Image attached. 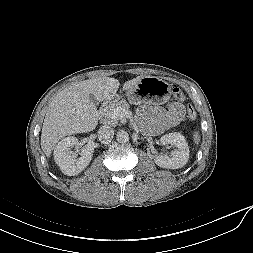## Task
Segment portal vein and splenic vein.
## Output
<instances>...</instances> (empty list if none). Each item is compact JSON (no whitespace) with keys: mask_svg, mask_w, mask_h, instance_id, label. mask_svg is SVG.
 <instances>
[{"mask_svg":"<svg viewBox=\"0 0 253 253\" xmlns=\"http://www.w3.org/2000/svg\"><path fill=\"white\" fill-rule=\"evenodd\" d=\"M131 115H132L131 112L126 109H116L112 114V118L113 119H121L124 117L128 118Z\"/></svg>","mask_w":253,"mask_h":253,"instance_id":"portal-vein-and-splenic-vein-1","label":"portal vein and splenic vein"}]
</instances>
